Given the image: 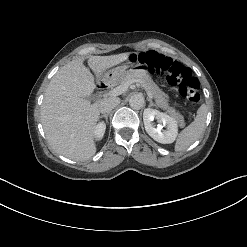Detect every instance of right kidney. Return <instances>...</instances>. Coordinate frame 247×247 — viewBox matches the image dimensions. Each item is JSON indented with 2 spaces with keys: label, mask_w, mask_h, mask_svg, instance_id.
Segmentation results:
<instances>
[{
  "label": "right kidney",
  "mask_w": 247,
  "mask_h": 247,
  "mask_svg": "<svg viewBox=\"0 0 247 247\" xmlns=\"http://www.w3.org/2000/svg\"><path fill=\"white\" fill-rule=\"evenodd\" d=\"M106 126L104 123H99L95 129V137L100 140L105 133Z\"/></svg>",
  "instance_id": "1"
}]
</instances>
